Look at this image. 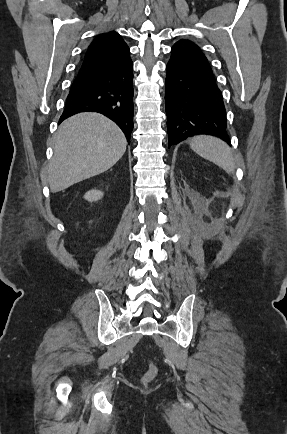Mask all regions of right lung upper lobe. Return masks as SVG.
<instances>
[{
    "mask_svg": "<svg viewBox=\"0 0 287 434\" xmlns=\"http://www.w3.org/2000/svg\"><path fill=\"white\" fill-rule=\"evenodd\" d=\"M126 53H129V48L118 33H103L89 45L82 65L101 63Z\"/></svg>",
    "mask_w": 287,
    "mask_h": 434,
    "instance_id": "right-lung-upper-lobe-1",
    "label": "right lung upper lobe"
}]
</instances>
